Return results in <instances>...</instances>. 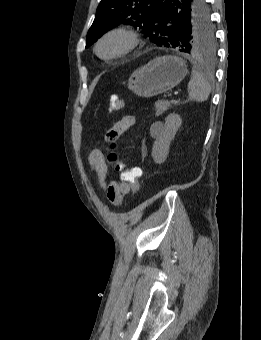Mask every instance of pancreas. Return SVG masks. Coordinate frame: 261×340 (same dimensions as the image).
I'll list each match as a JSON object with an SVG mask.
<instances>
[{
	"label": "pancreas",
	"mask_w": 261,
	"mask_h": 340,
	"mask_svg": "<svg viewBox=\"0 0 261 340\" xmlns=\"http://www.w3.org/2000/svg\"><path fill=\"white\" fill-rule=\"evenodd\" d=\"M171 104H180L178 101H167V100H160L155 103V111L156 116L162 115L164 112L168 110Z\"/></svg>",
	"instance_id": "obj_1"
}]
</instances>
